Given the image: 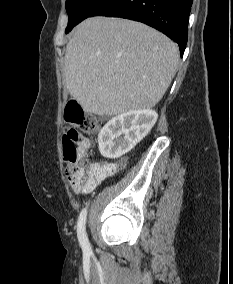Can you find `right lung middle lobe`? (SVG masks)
Returning a JSON list of instances; mask_svg holds the SVG:
<instances>
[{
	"instance_id": "right-lung-middle-lobe-1",
	"label": "right lung middle lobe",
	"mask_w": 233,
	"mask_h": 284,
	"mask_svg": "<svg viewBox=\"0 0 233 284\" xmlns=\"http://www.w3.org/2000/svg\"><path fill=\"white\" fill-rule=\"evenodd\" d=\"M106 1L107 0H66L65 5L69 19L65 33H68L75 25L89 17Z\"/></svg>"
}]
</instances>
